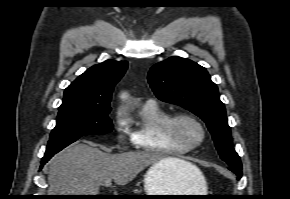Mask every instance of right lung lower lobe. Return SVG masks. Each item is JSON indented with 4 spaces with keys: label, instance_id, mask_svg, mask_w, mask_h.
I'll list each match as a JSON object with an SVG mask.
<instances>
[{
    "label": "right lung lower lobe",
    "instance_id": "98d812e1",
    "mask_svg": "<svg viewBox=\"0 0 290 199\" xmlns=\"http://www.w3.org/2000/svg\"><path fill=\"white\" fill-rule=\"evenodd\" d=\"M54 154L51 155H44V157L41 160V166L40 169L43 167V165L53 156Z\"/></svg>",
    "mask_w": 290,
    "mask_h": 199
}]
</instances>
